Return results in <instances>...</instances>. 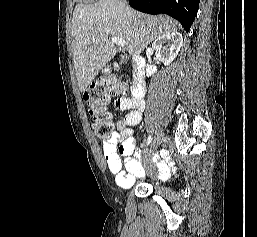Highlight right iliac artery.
<instances>
[{
  "instance_id": "right-iliac-artery-1",
  "label": "right iliac artery",
  "mask_w": 257,
  "mask_h": 237,
  "mask_svg": "<svg viewBox=\"0 0 257 237\" xmlns=\"http://www.w3.org/2000/svg\"><path fill=\"white\" fill-rule=\"evenodd\" d=\"M151 141H152V136L149 135L148 138H147V141H146V145L148 146V145L151 143ZM161 154H162V155H165L166 152H165V151H161ZM157 157H158V156H157ZM155 159H156V156L153 158V160H155Z\"/></svg>"
}]
</instances>
